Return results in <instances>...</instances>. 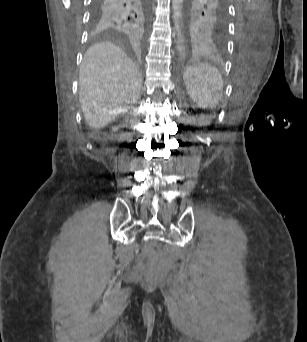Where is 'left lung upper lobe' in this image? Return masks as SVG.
Returning <instances> with one entry per match:
<instances>
[{
  "label": "left lung upper lobe",
  "instance_id": "1",
  "mask_svg": "<svg viewBox=\"0 0 307 342\" xmlns=\"http://www.w3.org/2000/svg\"><path fill=\"white\" fill-rule=\"evenodd\" d=\"M186 25L190 45L214 53L227 41L226 0H187Z\"/></svg>",
  "mask_w": 307,
  "mask_h": 342
}]
</instances>
